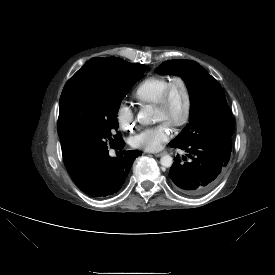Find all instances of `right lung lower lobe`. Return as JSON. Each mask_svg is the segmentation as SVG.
Returning <instances> with one entry per match:
<instances>
[{"label":"right lung lower lobe","mask_w":275,"mask_h":275,"mask_svg":"<svg viewBox=\"0 0 275 275\" xmlns=\"http://www.w3.org/2000/svg\"><path fill=\"white\" fill-rule=\"evenodd\" d=\"M121 140L115 148H122ZM141 153L126 151L120 158H112L108 151L96 159L82 162L71 174L76 185L93 197H105L116 193L123 185L135 158Z\"/></svg>","instance_id":"1"}]
</instances>
